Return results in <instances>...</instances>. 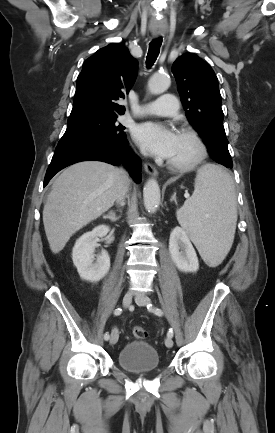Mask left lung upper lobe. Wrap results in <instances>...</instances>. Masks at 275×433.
Segmentation results:
<instances>
[{"instance_id":"1","label":"left lung upper lobe","mask_w":275,"mask_h":433,"mask_svg":"<svg viewBox=\"0 0 275 433\" xmlns=\"http://www.w3.org/2000/svg\"><path fill=\"white\" fill-rule=\"evenodd\" d=\"M172 72L186 116L219 164L232 165L223 126V111L217 77L208 63L193 53L174 62Z\"/></svg>"}]
</instances>
